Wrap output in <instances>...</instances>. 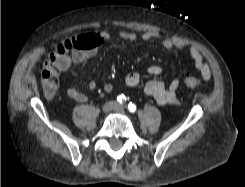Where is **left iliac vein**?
<instances>
[{
	"instance_id": "left-iliac-vein-1",
	"label": "left iliac vein",
	"mask_w": 245,
	"mask_h": 187,
	"mask_svg": "<svg viewBox=\"0 0 245 187\" xmlns=\"http://www.w3.org/2000/svg\"><path fill=\"white\" fill-rule=\"evenodd\" d=\"M114 109L118 112H123L125 109V106L123 104H116V106L114 107Z\"/></svg>"
}]
</instances>
